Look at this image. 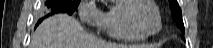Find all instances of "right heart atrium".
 I'll return each instance as SVG.
<instances>
[{
  "label": "right heart atrium",
  "mask_w": 213,
  "mask_h": 48,
  "mask_svg": "<svg viewBox=\"0 0 213 48\" xmlns=\"http://www.w3.org/2000/svg\"><path fill=\"white\" fill-rule=\"evenodd\" d=\"M79 16L85 24L101 29L103 11L95 0L82 1L79 5Z\"/></svg>",
  "instance_id": "1"
}]
</instances>
